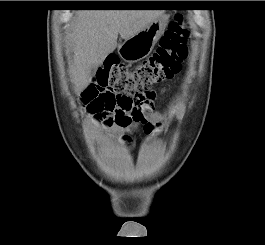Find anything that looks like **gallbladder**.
I'll return each mask as SVG.
<instances>
[{
	"label": "gallbladder",
	"instance_id": "obj_1",
	"mask_svg": "<svg viewBox=\"0 0 265 245\" xmlns=\"http://www.w3.org/2000/svg\"><path fill=\"white\" fill-rule=\"evenodd\" d=\"M89 72L90 75H94V73L96 72V66H91Z\"/></svg>",
	"mask_w": 265,
	"mask_h": 245
}]
</instances>
